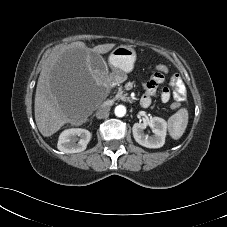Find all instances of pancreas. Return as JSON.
Masks as SVG:
<instances>
[{"mask_svg":"<svg viewBox=\"0 0 227 227\" xmlns=\"http://www.w3.org/2000/svg\"><path fill=\"white\" fill-rule=\"evenodd\" d=\"M113 100H122V101H128L129 98L127 96V93H125L124 89L122 87H120L115 95V97L113 98Z\"/></svg>","mask_w":227,"mask_h":227,"instance_id":"cf45deb5","label":"pancreas"}]
</instances>
